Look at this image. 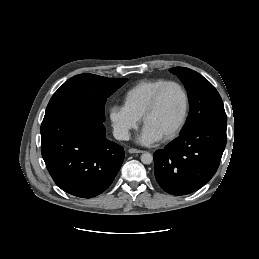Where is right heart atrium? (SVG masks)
I'll use <instances>...</instances> for the list:
<instances>
[{
  "label": "right heart atrium",
  "mask_w": 259,
  "mask_h": 259,
  "mask_svg": "<svg viewBox=\"0 0 259 259\" xmlns=\"http://www.w3.org/2000/svg\"><path fill=\"white\" fill-rule=\"evenodd\" d=\"M108 115L113 132L120 140H127L131 131L139 125V118L128 112L124 106H111Z\"/></svg>",
  "instance_id": "right-heart-atrium-1"
}]
</instances>
